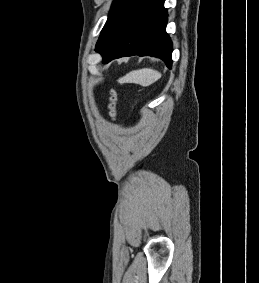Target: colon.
I'll use <instances>...</instances> for the list:
<instances>
[{"label":"colon","mask_w":259,"mask_h":283,"mask_svg":"<svg viewBox=\"0 0 259 283\" xmlns=\"http://www.w3.org/2000/svg\"><path fill=\"white\" fill-rule=\"evenodd\" d=\"M115 103H116V94H115L114 90H110L107 108H108L109 116L112 119H114L115 115H116Z\"/></svg>","instance_id":"obj_1"}]
</instances>
